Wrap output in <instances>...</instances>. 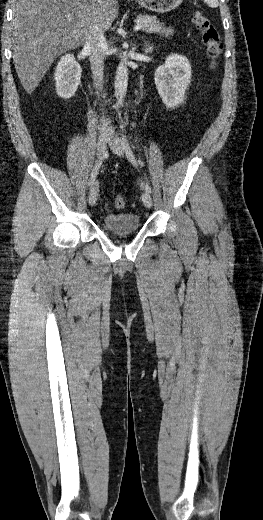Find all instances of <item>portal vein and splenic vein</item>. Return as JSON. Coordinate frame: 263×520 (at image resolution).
Listing matches in <instances>:
<instances>
[{"mask_svg": "<svg viewBox=\"0 0 263 520\" xmlns=\"http://www.w3.org/2000/svg\"><path fill=\"white\" fill-rule=\"evenodd\" d=\"M67 19L68 20H71V16L70 15H67ZM142 25H141V22H138L135 27H134V30L137 31L139 29H141Z\"/></svg>", "mask_w": 263, "mask_h": 520, "instance_id": "portal-vein-and-splenic-vein-1", "label": "portal vein and splenic vein"}]
</instances>
